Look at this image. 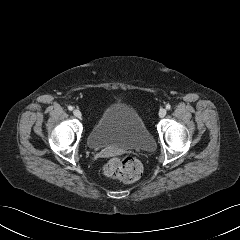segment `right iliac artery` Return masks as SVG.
<instances>
[{
	"label": "right iliac artery",
	"instance_id": "1",
	"mask_svg": "<svg viewBox=\"0 0 240 240\" xmlns=\"http://www.w3.org/2000/svg\"><path fill=\"white\" fill-rule=\"evenodd\" d=\"M68 110L72 111L73 107L72 106H68Z\"/></svg>",
	"mask_w": 240,
	"mask_h": 240
}]
</instances>
